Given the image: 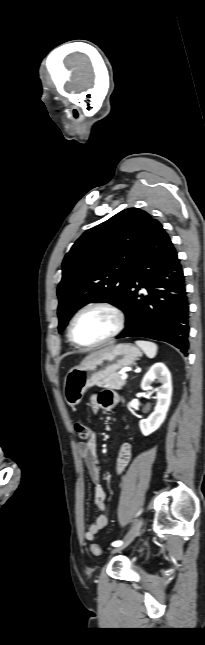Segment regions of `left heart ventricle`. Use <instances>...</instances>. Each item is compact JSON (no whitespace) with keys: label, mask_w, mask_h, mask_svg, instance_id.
<instances>
[{"label":"left heart ventricle","mask_w":205,"mask_h":645,"mask_svg":"<svg viewBox=\"0 0 205 645\" xmlns=\"http://www.w3.org/2000/svg\"><path fill=\"white\" fill-rule=\"evenodd\" d=\"M114 326L113 316L102 309L83 312L74 324V336L82 343L96 342L110 333Z\"/></svg>","instance_id":"b2bd125f"}]
</instances>
